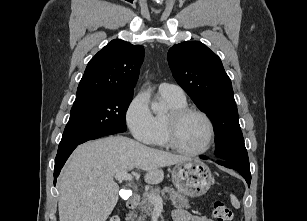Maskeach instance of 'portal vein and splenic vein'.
Masks as SVG:
<instances>
[{"label":"portal vein and splenic vein","mask_w":307,"mask_h":221,"mask_svg":"<svg viewBox=\"0 0 307 221\" xmlns=\"http://www.w3.org/2000/svg\"><path fill=\"white\" fill-rule=\"evenodd\" d=\"M115 179L118 181L126 180V181H133V176L128 172H121L115 175ZM149 199L154 207H163V199L157 195H150Z\"/></svg>","instance_id":"1"}]
</instances>
